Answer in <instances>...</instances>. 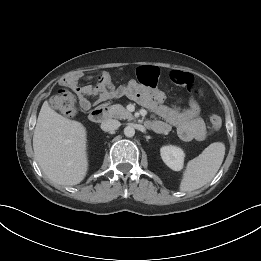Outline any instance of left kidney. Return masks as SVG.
<instances>
[{"instance_id":"5707ae66","label":"left kidney","mask_w":261,"mask_h":261,"mask_svg":"<svg viewBox=\"0 0 261 261\" xmlns=\"http://www.w3.org/2000/svg\"><path fill=\"white\" fill-rule=\"evenodd\" d=\"M163 162L172 170L180 171L183 169L185 154L183 150L176 146H163L160 149Z\"/></svg>"}]
</instances>
